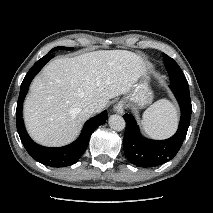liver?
<instances>
[{"label": "liver", "instance_id": "1", "mask_svg": "<svg viewBox=\"0 0 213 213\" xmlns=\"http://www.w3.org/2000/svg\"><path fill=\"white\" fill-rule=\"evenodd\" d=\"M143 68V59L125 50L53 60L33 80L24 103L30 136L46 146L70 143L90 117L86 107L97 103L102 111L110 99L128 94Z\"/></svg>", "mask_w": 213, "mask_h": 213}]
</instances>
